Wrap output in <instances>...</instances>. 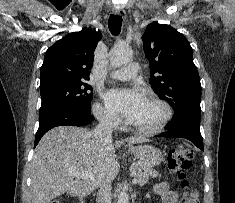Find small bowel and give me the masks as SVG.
Segmentation results:
<instances>
[{
    "instance_id": "obj_1",
    "label": "small bowel",
    "mask_w": 235,
    "mask_h": 203,
    "mask_svg": "<svg viewBox=\"0 0 235 203\" xmlns=\"http://www.w3.org/2000/svg\"><path fill=\"white\" fill-rule=\"evenodd\" d=\"M154 193L160 196L161 203H177L179 193L171 190L167 182H160L154 186Z\"/></svg>"
}]
</instances>
